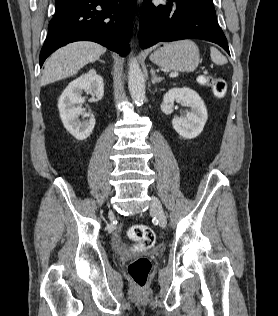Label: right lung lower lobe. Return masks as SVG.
Listing matches in <instances>:
<instances>
[{
  "mask_svg": "<svg viewBox=\"0 0 278 316\" xmlns=\"http://www.w3.org/2000/svg\"><path fill=\"white\" fill-rule=\"evenodd\" d=\"M135 3L136 0H56L55 15L40 52V67L56 49L80 40L97 42L126 56Z\"/></svg>",
  "mask_w": 278,
  "mask_h": 316,
  "instance_id": "1",
  "label": "right lung lower lobe"
}]
</instances>
